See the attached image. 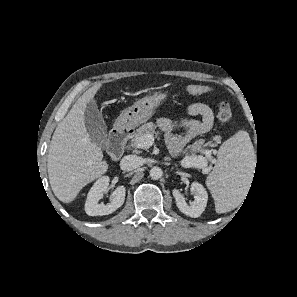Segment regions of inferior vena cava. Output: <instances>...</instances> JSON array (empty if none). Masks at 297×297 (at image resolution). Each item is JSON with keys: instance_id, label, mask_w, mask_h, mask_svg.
Masks as SVG:
<instances>
[{"instance_id": "obj_1", "label": "inferior vena cava", "mask_w": 297, "mask_h": 297, "mask_svg": "<svg viewBox=\"0 0 297 297\" xmlns=\"http://www.w3.org/2000/svg\"><path fill=\"white\" fill-rule=\"evenodd\" d=\"M142 165V159L136 155L124 156L120 162V168L123 171H132Z\"/></svg>"}]
</instances>
